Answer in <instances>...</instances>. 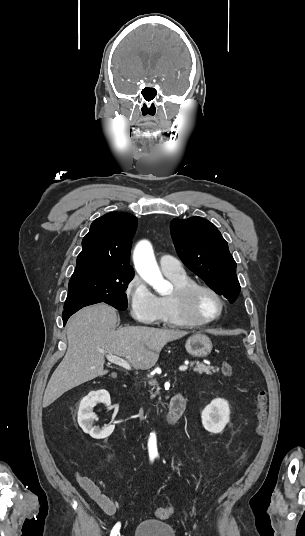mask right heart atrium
Masks as SVG:
<instances>
[{
  "label": "right heart atrium",
  "mask_w": 305,
  "mask_h": 536,
  "mask_svg": "<svg viewBox=\"0 0 305 536\" xmlns=\"http://www.w3.org/2000/svg\"><path fill=\"white\" fill-rule=\"evenodd\" d=\"M125 297L130 315L136 321L148 325L158 321L161 309L159 298L138 275L133 276L127 284Z\"/></svg>",
  "instance_id": "obj_1"
}]
</instances>
